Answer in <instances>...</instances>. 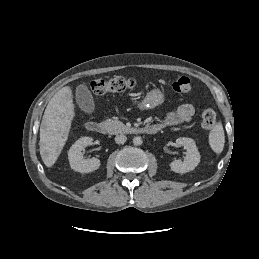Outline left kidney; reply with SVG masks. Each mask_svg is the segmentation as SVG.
Segmentation results:
<instances>
[{
	"instance_id": "obj_1",
	"label": "left kidney",
	"mask_w": 259,
	"mask_h": 259,
	"mask_svg": "<svg viewBox=\"0 0 259 259\" xmlns=\"http://www.w3.org/2000/svg\"><path fill=\"white\" fill-rule=\"evenodd\" d=\"M178 146L186 149V157L184 161L174 160L170 163V168L176 173H187L195 169L200 162V153L193 139L182 137L176 139Z\"/></svg>"
}]
</instances>
